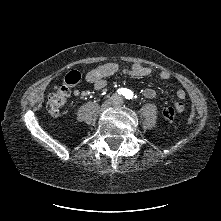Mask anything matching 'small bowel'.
Returning a JSON list of instances; mask_svg holds the SVG:
<instances>
[{
  "mask_svg": "<svg viewBox=\"0 0 221 221\" xmlns=\"http://www.w3.org/2000/svg\"><path fill=\"white\" fill-rule=\"evenodd\" d=\"M118 70V64L112 62L106 63L90 70L86 74V80L89 83L93 84L96 90H101L106 85L105 79L115 74ZM124 72L133 77H145L151 74V69L142 64L135 63L129 69L124 70ZM160 77L163 80H168L170 79L171 74L167 70H162L160 72ZM143 95L148 99H152L156 96V92L152 88H145L143 90ZM185 97V91L182 89L178 90L176 93V99L173 102V106L180 110L183 109V100L185 99Z\"/></svg>",
  "mask_w": 221,
  "mask_h": 221,
  "instance_id": "obj_1",
  "label": "small bowel"
}]
</instances>
